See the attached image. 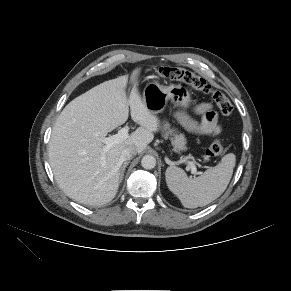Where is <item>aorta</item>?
<instances>
[{"instance_id": "aorta-1", "label": "aorta", "mask_w": 291, "mask_h": 291, "mask_svg": "<svg viewBox=\"0 0 291 291\" xmlns=\"http://www.w3.org/2000/svg\"><path fill=\"white\" fill-rule=\"evenodd\" d=\"M141 165L145 169H152L156 166V159L152 155H145L141 159Z\"/></svg>"}]
</instances>
